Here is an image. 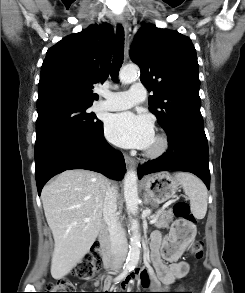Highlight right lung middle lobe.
Returning a JSON list of instances; mask_svg holds the SVG:
<instances>
[{
  "instance_id": "1",
  "label": "right lung middle lobe",
  "mask_w": 245,
  "mask_h": 293,
  "mask_svg": "<svg viewBox=\"0 0 245 293\" xmlns=\"http://www.w3.org/2000/svg\"><path fill=\"white\" fill-rule=\"evenodd\" d=\"M90 106L60 103L37 108L35 150L56 137L97 129L102 123L86 111Z\"/></svg>"
}]
</instances>
